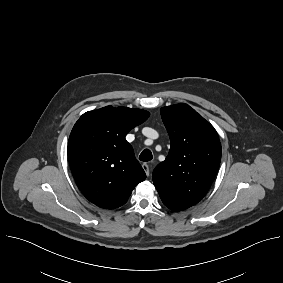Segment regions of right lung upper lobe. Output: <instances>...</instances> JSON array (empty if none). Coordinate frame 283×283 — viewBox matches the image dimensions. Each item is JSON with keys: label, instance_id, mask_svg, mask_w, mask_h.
<instances>
[{"label": "right lung upper lobe", "instance_id": "right-lung-upper-lobe-1", "mask_svg": "<svg viewBox=\"0 0 283 283\" xmlns=\"http://www.w3.org/2000/svg\"><path fill=\"white\" fill-rule=\"evenodd\" d=\"M150 113L107 106L84 113L68 142L73 177L83 195L95 205L114 209L125 204L145 172L136 160L127 133L147 120Z\"/></svg>", "mask_w": 283, "mask_h": 283}]
</instances>
